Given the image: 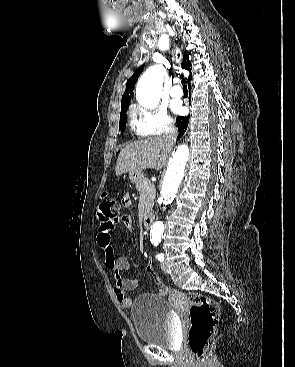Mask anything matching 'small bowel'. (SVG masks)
<instances>
[{"label":"small bowel","mask_w":295,"mask_h":367,"mask_svg":"<svg viewBox=\"0 0 295 367\" xmlns=\"http://www.w3.org/2000/svg\"><path fill=\"white\" fill-rule=\"evenodd\" d=\"M122 204L125 207H129L131 205V200L128 195L124 196ZM118 224L124 225L128 230L133 229V220L130 215H122L121 217H116L109 222L99 221L96 241L104 253L106 268L111 270L113 273L114 294L118 302L124 308H129L132 304V299L129 298L126 293L134 290L138 286V278L124 277L122 272H129L131 270L129 259L125 256L116 257L114 254L111 234Z\"/></svg>","instance_id":"small-bowel-1"}]
</instances>
